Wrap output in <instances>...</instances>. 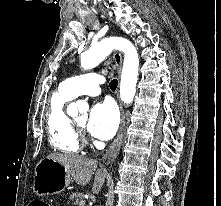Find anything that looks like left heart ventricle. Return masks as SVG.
Returning a JSON list of instances; mask_svg holds the SVG:
<instances>
[{"instance_id": "b2bd125f", "label": "left heart ventricle", "mask_w": 221, "mask_h": 206, "mask_svg": "<svg viewBox=\"0 0 221 206\" xmlns=\"http://www.w3.org/2000/svg\"><path fill=\"white\" fill-rule=\"evenodd\" d=\"M86 115L79 117L78 119H76V122L79 123L80 125L84 126L85 122H86Z\"/></svg>"}]
</instances>
